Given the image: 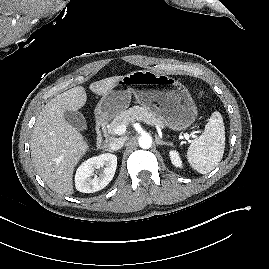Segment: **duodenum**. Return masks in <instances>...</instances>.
I'll list each match as a JSON object with an SVG mask.
<instances>
[{
    "label": "duodenum",
    "mask_w": 269,
    "mask_h": 269,
    "mask_svg": "<svg viewBox=\"0 0 269 269\" xmlns=\"http://www.w3.org/2000/svg\"><path fill=\"white\" fill-rule=\"evenodd\" d=\"M96 145L99 149L107 147L110 137L108 133V123L105 119H99L96 124Z\"/></svg>",
    "instance_id": "1"
}]
</instances>
